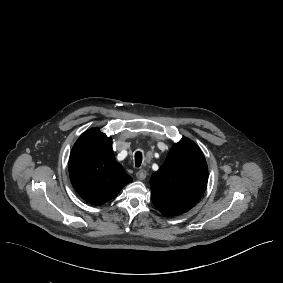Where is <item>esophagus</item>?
Here are the masks:
<instances>
[{
    "instance_id": "34e87169",
    "label": "esophagus",
    "mask_w": 283,
    "mask_h": 283,
    "mask_svg": "<svg viewBox=\"0 0 283 283\" xmlns=\"http://www.w3.org/2000/svg\"><path fill=\"white\" fill-rule=\"evenodd\" d=\"M147 176V172L144 169L137 171L136 177L138 180H144Z\"/></svg>"
}]
</instances>
